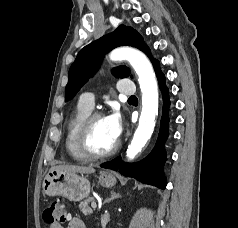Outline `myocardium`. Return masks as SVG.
I'll list each match as a JSON object with an SVG mask.
<instances>
[{
    "label": "myocardium",
    "instance_id": "f54148a6",
    "mask_svg": "<svg viewBox=\"0 0 238 228\" xmlns=\"http://www.w3.org/2000/svg\"><path fill=\"white\" fill-rule=\"evenodd\" d=\"M104 117L105 115L101 111H92L86 117V119L83 121L81 125L79 137H78V146L82 154L86 156L88 159L98 160V159H105V158L111 157L120 148V141H117L116 144L111 149L103 153L95 152L92 149L90 139H91L93 126L96 120L100 118H104Z\"/></svg>",
    "mask_w": 238,
    "mask_h": 228
}]
</instances>
